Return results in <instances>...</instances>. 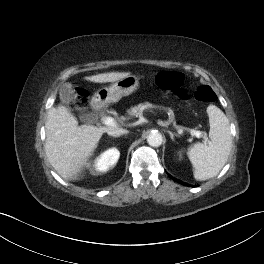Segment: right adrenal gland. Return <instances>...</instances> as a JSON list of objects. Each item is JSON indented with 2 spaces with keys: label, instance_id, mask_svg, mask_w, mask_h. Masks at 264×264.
Returning <instances> with one entry per match:
<instances>
[{
  "label": "right adrenal gland",
  "instance_id": "obj_1",
  "mask_svg": "<svg viewBox=\"0 0 264 264\" xmlns=\"http://www.w3.org/2000/svg\"><path fill=\"white\" fill-rule=\"evenodd\" d=\"M121 135H117V136H113L114 138H116V137H120Z\"/></svg>",
  "mask_w": 264,
  "mask_h": 264
}]
</instances>
